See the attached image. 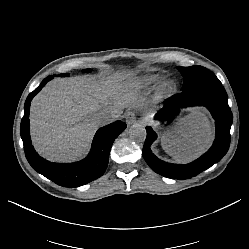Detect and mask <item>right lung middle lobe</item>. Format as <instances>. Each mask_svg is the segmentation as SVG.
Segmentation results:
<instances>
[{"mask_svg":"<svg viewBox=\"0 0 249 249\" xmlns=\"http://www.w3.org/2000/svg\"><path fill=\"white\" fill-rule=\"evenodd\" d=\"M91 71H92L91 69H84L83 70V72H86V73L91 72ZM60 76H63V77L68 76V73L61 74ZM51 77H54V76H51Z\"/></svg>","mask_w":249,"mask_h":249,"instance_id":"right-lung-middle-lobe-1","label":"right lung middle lobe"}]
</instances>
